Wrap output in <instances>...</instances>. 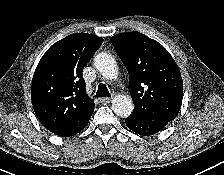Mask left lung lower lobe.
<instances>
[{"label": "left lung lower lobe", "mask_w": 224, "mask_h": 175, "mask_svg": "<svg viewBox=\"0 0 224 175\" xmlns=\"http://www.w3.org/2000/svg\"><path fill=\"white\" fill-rule=\"evenodd\" d=\"M170 121L166 120H145L135 117H128L125 120L127 127L143 136H150L163 129Z\"/></svg>", "instance_id": "obj_1"}]
</instances>
